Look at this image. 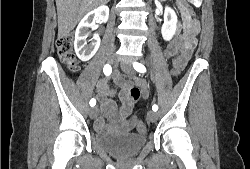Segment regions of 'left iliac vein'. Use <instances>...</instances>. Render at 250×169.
Here are the masks:
<instances>
[{"label":"left iliac vein","instance_id":"1","mask_svg":"<svg viewBox=\"0 0 250 169\" xmlns=\"http://www.w3.org/2000/svg\"><path fill=\"white\" fill-rule=\"evenodd\" d=\"M121 69L127 74H135V71L132 68V61L121 63ZM147 118L150 122H155L157 120V113L154 111H148Z\"/></svg>","mask_w":250,"mask_h":169}]
</instances>
